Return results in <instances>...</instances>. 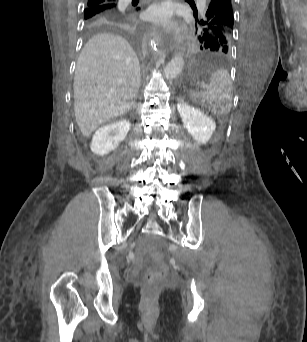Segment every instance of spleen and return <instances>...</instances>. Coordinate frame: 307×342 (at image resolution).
<instances>
[{"label":"spleen","mask_w":307,"mask_h":342,"mask_svg":"<svg viewBox=\"0 0 307 342\" xmlns=\"http://www.w3.org/2000/svg\"><path fill=\"white\" fill-rule=\"evenodd\" d=\"M195 100H201L210 104V110L214 114H229L232 102V80L223 68H218L209 80L206 92L195 93Z\"/></svg>","instance_id":"1"}]
</instances>
